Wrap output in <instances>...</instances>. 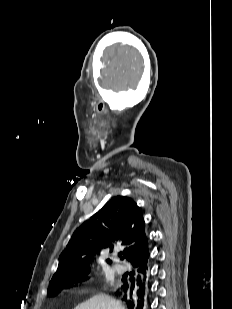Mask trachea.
<instances>
[{
    "label": "trachea",
    "instance_id": "1",
    "mask_svg": "<svg viewBox=\"0 0 232 309\" xmlns=\"http://www.w3.org/2000/svg\"><path fill=\"white\" fill-rule=\"evenodd\" d=\"M119 256L122 257V253H120Z\"/></svg>",
    "mask_w": 232,
    "mask_h": 309
}]
</instances>
